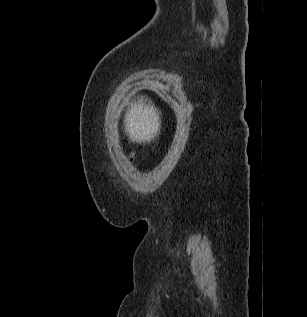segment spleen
I'll use <instances>...</instances> for the list:
<instances>
[{"instance_id": "obj_1", "label": "spleen", "mask_w": 307, "mask_h": 317, "mask_svg": "<svg viewBox=\"0 0 307 317\" xmlns=\"http://www.w3.org/2000/svg\"><path fill=\"white\" fill-rule=\"evenodd\" d=\"M134 106H129L130 115L127 116V124L132 132V134L137 136L139 130L142 129H166V122H156L154 118H152L151 105L152 102L150 100H135L133 102ZM143 105V106H142ZM139 113V115L137 114ZM139 139H160V132H139ZM142 155V148H141Z\"/></svg>"}]
</instances>
